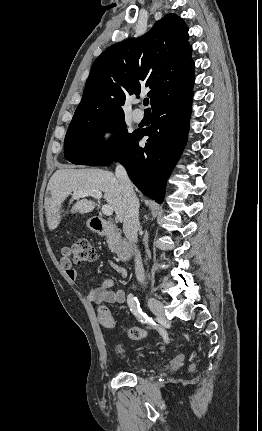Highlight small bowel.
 Masks as SVG:
<instances>
[{"mask_svg":"<svg viewBox=\"0 0 262 431\" xmlns=\"http://www.w3.org/2000/svg\"><path fill=\"white\" fill-rule=\"evenodd\" d=\"M61 263L67 277L71 281H76L79 278V271L72 266L69 260L63 259ZM111 265L122 278L125 279L128 277V270L124 266L114 261H111ZM113 284H114V280L109 278L89 288L87 293V299L91 303L98 306L99 312H101L102 310H107L105 307L106 303L114 304V305H122L128 299V297H126L124 290L122 289L113 290L112 289ZM108 313L111 315L109 311ZM162 333L168 340V334L165 331H162ZM182 360H183V355H180L178 357V361H182Z\"/></svg>","mask_w":262,"mask_h":431,"instance_id":"c3829d8e","label":"small bowel"}]
</instances>
